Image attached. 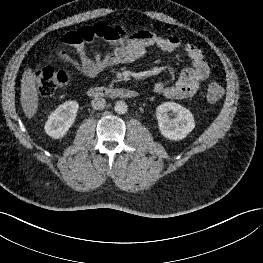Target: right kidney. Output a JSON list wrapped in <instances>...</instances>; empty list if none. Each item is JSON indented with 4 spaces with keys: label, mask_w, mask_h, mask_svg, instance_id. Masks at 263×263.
I'll return each instance as SVG.
<instances>
[{
    "label": "right kidney",
    "mask_w": 263,
    "mask_h": 263,
    "mask_svg": "<svg viewBox=\"0 0 263 263\" xmlns=\"http://www.w3.org/2000/svg\"><path fill=\"white\" fill-rule=\"evenodd\" d=\"M79 105L76 101H66L50 114L44 129L47 135L59 139L67 134L74 124Z\"/></svg>",
    "instance_id": "ca27d5eb"
}]
</instances>
